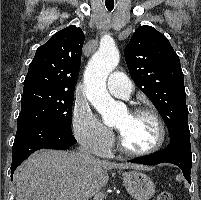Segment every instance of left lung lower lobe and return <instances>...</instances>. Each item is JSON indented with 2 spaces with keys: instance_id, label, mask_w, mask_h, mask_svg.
I'll return each mask as SVG.
<instances>
[{
  "instance_id": "0a47b994",
  "label": "left lung lower lobe",
  "mask_w": 201,
  "mask_h": 200,
  "mask_svg": "<svg viewBox=\"0 0 201 200\" xmlns=\"http://www.w3.org/2000/svg\"><path fill=\"white\" fill-rule=\"evenodd\" d=\"M131 163L155 165L172 163L179 166L186 180L191 184L190 173L192 167V153L190 134H180L170 139L169 145L161 152L150 156L130 160Z\"/></svg>"
}]
</instances>
